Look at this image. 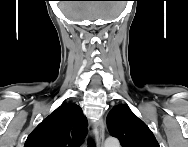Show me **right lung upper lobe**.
<instances>
[{"mask_svg": "<svg viewBox=\"0 0 188 147\" xmlns=\"http://www.w3.org/2000/svg\"><path fill=\"white\" fill-rule=\"evenodd\" d=\"M86 132L87 119L81 107L65 103L32 131L24 147H79Z\"/></svg>", "mask_w": 188, "mask_h": 147, "instance_id": "obj_1", "label": "right lung upper lobe"}]
</instances>
